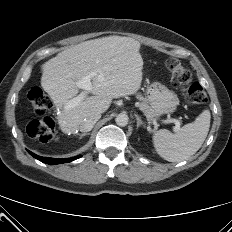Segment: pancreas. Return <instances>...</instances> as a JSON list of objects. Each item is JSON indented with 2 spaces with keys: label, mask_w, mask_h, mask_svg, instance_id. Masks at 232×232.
<instances>
[{
  "label": "pancreas",
  "mask_w": 232,
  "mask_h": 232,
  "mask_svg": "<svg viewBox=\"0 0 232 232\" xmlns=\"http://www.w3.org/2000/svg\"><path fill=\"white\" fill-rule=\"evenodd\" d=\"M137 97L140 100V102L138 103V107L141 111H143V113L148 119L152 120L158 117L159 114L155 112L154 109H152L146 98H144L140 94H138Z\"/></svg>",
  "instance_id": "obj_1"
}]
</instances>
